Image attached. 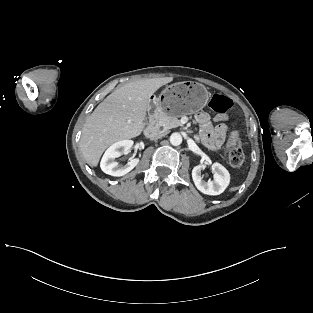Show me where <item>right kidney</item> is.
Wrapping results in <instances>:
<instances>
[{"instance_id":"ca27d5eb","label":"right kidney","mask_w":313,"mask_h":313,"mask_svg":"<svg viewBox=\"0 0 313 313\" xmlns=\"http://www.w3.org/2000/svg\"><path fill=\"white\" fill-rule=\"evenodd\" d=\"M132 146V140H121L111 145L101 159L100 167L102 171L116 177L130 172L139 163L138 158L130 159L125 165L118 164L114 159L127 152Z\"/></svg>"}]
</instances>
